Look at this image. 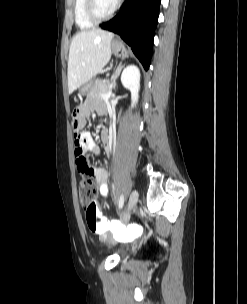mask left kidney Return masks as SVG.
Segmentation results:
<instances>
[{
  "label": "left kidney",
  "mask_w": 247,
  "mask_h": 304,
  "mask_svg": "<svg viewBox=\"0 0 247 304\" xmlns=\"http://www.w3.org/2000/svg\"><path fill=\"white\" fill-rule=\"evenodd\" d=\"M121 82L123 86L130 90L132 107L138 101V93L140 89V71L134 64L128 65L121 74Z\"/></svg>",
  "instance_id": "obj_1"
}]
</instances>
